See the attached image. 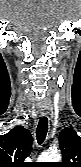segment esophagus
I'll return each instance as SVG.
<instances>
[{
	"instance_id": "obj_1",
	"label": "esophagus",
	"mask_w": 81,
	"mask_h": 167,
	"mask_svg": "<svg viewBox=\"0 0 81 167\" xmlns=\"http://www.w3.org/2000/svg\"><path fill=\"white\" fill-rule=\"evenodd\" d=\"M40 114H41L42 116H46V115L48 114V112H47V111H41Z\"/></svg>"
}]
</instances>
